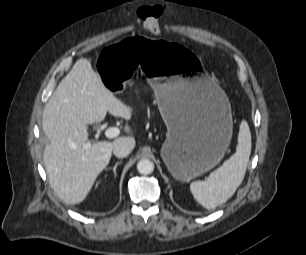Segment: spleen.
Masks as SVG:
<instances>
[{"label": "spleen", "instance_id": "1", "mask_svg": "<svg viewBox=\"0 0 306 255\" xmlns=\"http://www.w3.org/2000/svg\"><path fill=\"white\" fill-rule=\"evenodd\" d=\"M251 153V133L247 121L240 124L236 152L205 181H194L190 190L205 208L214 209L233 196L244 179Z\"/></svg>", "mask_w": 306, "mask_h": 255}]
</instances>
